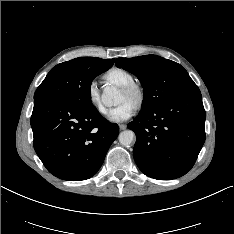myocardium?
<instances>
[{"label":"myocardium","instance_id":"f54148a6","mask_svg":"<svg viewBox=\"0 0 234 234\" xmlns=\"http://www.w3.org/2000/svg\"><path fill=\"white\" fill-rule=\"evenodd\" d=\"M120 92L133 101L134 108H140L145 101V90L138 82H131L120 87Z\"/></svg>","mask_w":234,"mask_h":234}]
</instances>
